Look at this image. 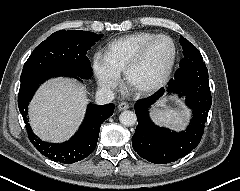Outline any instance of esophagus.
Segmentation results:
<instances>
[{
    "label": "esophagus",
    "mask_w": 240,
    "mask_h": 191,
    "mask_svg": "<svg viewBox=\"0 0 240 191\" xmlns=\"http://www.w3.org/2000/svg\"><path fill=\"white\" fill-rule=\"evenodd\" d=\"M130 106L127 102H121L119 103L118 105V109L121 111V110H126L128 109Z\"/></svg>",
    "instance_id": "obj_1"
}]
</instances>
